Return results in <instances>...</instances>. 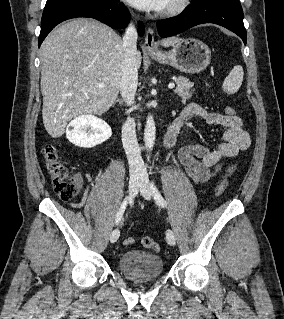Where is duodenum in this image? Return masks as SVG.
Masks as SVG:
<instances>
[{
  "label": "duodenum",
  "mask_w": 284,
  "mask_h": 319,
  "mask_svg": "<svg viewBox=\"0 0 284 319\" xmlns=\"http://www.w3.org/2000/svg\"><path fill=\"white\" fill-rule=\"evenodd\" d=\"M178 135L177 127L172 124L163 135V144L165 147H171L176 141Z\"/></svg>",
  "instance_id": "410a0bca"
}]
</instances>
